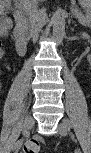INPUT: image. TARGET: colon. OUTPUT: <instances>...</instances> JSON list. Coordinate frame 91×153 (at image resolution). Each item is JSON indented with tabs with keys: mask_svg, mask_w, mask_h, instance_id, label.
<instances>
[{
	"mask_svg": "<svg viewBox=\"0 0 91 153\" xmlns=\"http://www.w3.org/2000/svg\"><path fill=\"white\" fill-rule=\"evenodd\" d=\"M1 27L5 30H8L10 27V21L8 19H1ZM41 141L39 139L29 140L23 146L24 153H38L40 150Z\"/></svg>",
	"mask_w": 91,
	"mask_h": 153,
	"instance_id": "5ec220e1",
	"label": "colon"
}]
</instances>
